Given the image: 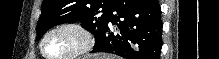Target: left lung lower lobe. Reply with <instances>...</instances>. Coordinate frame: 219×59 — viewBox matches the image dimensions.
I'll list each match as a JSON object with an SVG mask.
<instances>
[{
  "label": "left lung lower lobe",
  "instance_id": "1",
  "mask_svg": "<svg viewBox=\"0 0 219 59\" xmlns=\"http://www.w3.org/2000/svg\"><path fill=\"white\" fill-rule=\"evenodd\" d=\"M162 26L158 0H114L91 53H113L126 59H160Z\"/></svg>",
  "mask_w": 219,
  "mask_h": 59
}]
</instances>
